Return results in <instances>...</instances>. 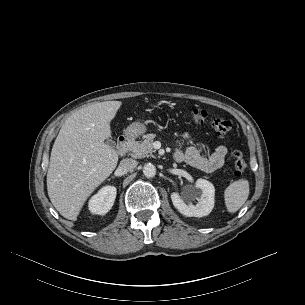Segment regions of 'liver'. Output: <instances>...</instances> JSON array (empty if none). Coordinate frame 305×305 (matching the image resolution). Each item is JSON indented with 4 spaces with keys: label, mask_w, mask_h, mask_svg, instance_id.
<instances>
[{
    "label": "liver",
    "mask_w": 305,
    "mask_h": 305,
    "mask_svg": "<svg viewBox=\"0 0 305 305\" xmlns=\"http://www.w3.org/2000/svg\"><path fill=\"white\" fill-rule=\"evenodd\" d=\"M120 101L91 104L72 114L52 147L47 190L56 210L68 220L77 217L92 192L114 171L118 154L104 141Z\"/></svg>",
    "instance_id": "6515ba94"
}]
</instances>
